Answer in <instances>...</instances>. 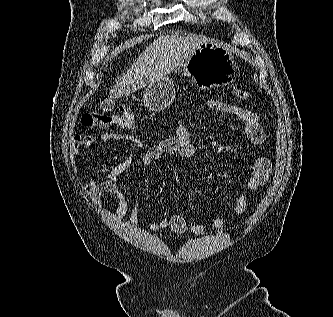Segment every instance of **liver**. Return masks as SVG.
<instances>
[{
	"label": "liver",
	"instance_id": "6515ba94",
	"mask_svg": "<svg viewBox=\"0 0 333 317\" xmlns=\"http://www.w3.org/2000/svg\"><path fill=\"white\" fill-rule=\"evenodd\" d=\"M207 41L208 38L200 35L160 36L146 47L127 73L113 86L109 92L110 98L127 96L150 82L165 77Z\"/></svg>",
	"mask_w": 333,
	"mask_h": 317
}]
</instances>
